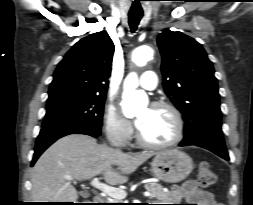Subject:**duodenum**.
<instances>
[{"label":"duodenum","mask_w":253,"mask_h":205,"mask_svg":"<svg viewBox=\"0 0 253 205\" xmlns=\"http://www.w3.org/2000/svg\"><path fill=\"white\" fill-rule=\"evenodd\" d=\"M93 201L96 203V204H99L101 201H102V198L100 196H94L93 197Z\"/></svg>","instance_id":"obj_1"}]
</instances>
